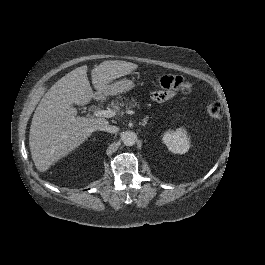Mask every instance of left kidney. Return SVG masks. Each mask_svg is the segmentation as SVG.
<instances>
[{
	"mask_svg": "<svg viewBox=\"0 0 265 265\" xmlns=\"http://www.w3.org/2000/svg\"><path fill=\"white\" fill-rule=\"evenodd\" d=\"M161 139L174 154H185L192 146L191 134L183 126L165 131Z\"/></svg>",
	"mask_w": 265,
	"mask_h": 265,
	"instance_id": "5707ae66",
	"label": "left kidney"
}]
</instances>
